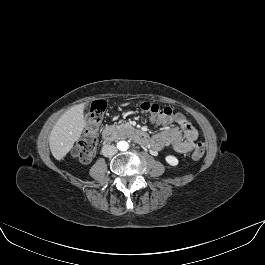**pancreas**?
Wrapping results in <instances>:
<instances>
[{
    "label": "pancreas",
    "mask_w": 265,
    "mask_h": 265,
    "mask_svg": "<svg viewBox=\"0 0 265 265\" xmlns=\"http://www.w3.org/2000/svg\"><path fill=\"white\" fill-rule=\"evenodd\" d=\"M116 127L119 128L118 126H116ZM123 127H124V128H129V124L126 123V124L123 125Z\"/></svg>",
    "instance_id": "pancreas-1"
}]
</instances>
